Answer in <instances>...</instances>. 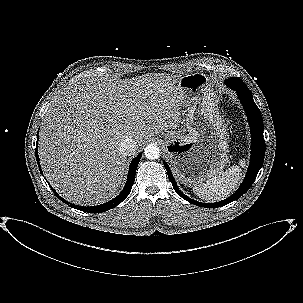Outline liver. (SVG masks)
Wrapping results in <instances>:
<instances>
[{"mask_svg":"<svg viewBox=\"0 0 303 303\" xmlns=\"http://www.w3.org/2000/svg\"><path fill=\"white\" fill-rule=\"evenodd\" d=\"M180 76L145 74L131 79L95 75L58 95L43 118L39 157L45 177L67 201L102 204L121 186L127 155L154 133L176 129L181 120Z\"/></svg>","mask_w":303,"mask_h":303,"instance_id":"obj_1","label":"liver"}]
</instances>
